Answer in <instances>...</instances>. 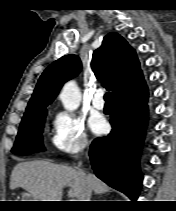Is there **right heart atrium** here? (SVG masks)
<instances>
[{
    "instance_id": "1",
    "label": "right heart atrium",
    "mask_w": 176,
    "mask_h": 211,
    "mask_svg": "<svg viewBox=\"0 0 176 211\" xmlns=\"http://www.w3.org/2000/svg\"><path fill=\"white\" fill-rule=\"evenodd\" d=\"M84 122L74 113L59 111L52 120V147L62 154H78L88 146Z\"/></svg>"
}]
</instances>
